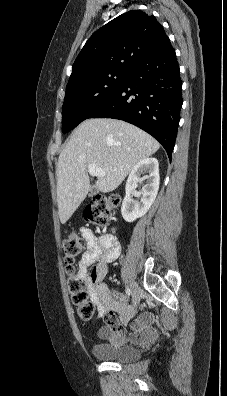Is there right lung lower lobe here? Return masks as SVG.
I'll use <instances>...</instances> for the list:
<instances>
[{
  "label": "right lung lower lobe",
  "instance_id": "98d812e1",
  "mask_svg": "<svg viewBox=\"0 0 227 396\" xmlns=\"http://www.w3.org/2000/svg\"><path fill=\"white\" fill-rule=\"evenodd\" d=\"M181 90L175 50L168 43L139 61L121 88L88 118L129 122L157 139L171 159L183 103Z\"/></svg>",
  "mask_w": 227,
  "mask_h": 396
}]
</instances>
